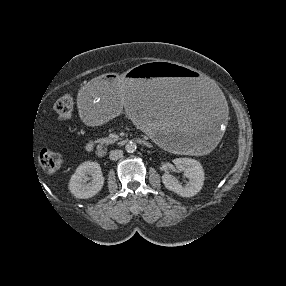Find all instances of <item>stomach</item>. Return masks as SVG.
I'll use <instances>...</instances> for the list:
<instances>
[{"instance_id":"1","label":"stomach","mask_w":286,"mask_h":286,"mask_svg":"<svg viewBox=\"0 0 286 286\" xmlns=\"http://www.w3.org/2000/svg\"><path fill=\"white\" fill-rule=\"evenodd\" d=\"M76 111L87 122L129 117L162 149L198 154L214 148L227 119L221 90L180 63L148 60L106 71L77 94Z\"/></svg>"}]
</instances>
